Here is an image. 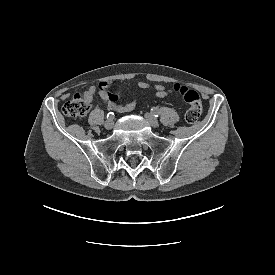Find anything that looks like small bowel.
I'll use <instances>...</instances> for the list:
<instances>
[{
  "instance_id": "1",
  "label": "small bowel",
  "mask_w": 275,
  "mask_h": 275,
  "mask_svg": "<svg viewBox=\"0 0 275 275\" xmlns=\"http://www.w3.org/2000/svg\"><path fill=\"white\" fill-rule=\"evenodd\" d=\"M112 84L113 82L111 81H102L98 85H92L84 92V96L92 101L94 95H99L109 108L118 113L134 110L137 105V100L134 99L125 105L118 104L119 96L109 91ZM137 86L142 90H153L157 98H168L171 93L170 89L162 84L152 85L146 81H139Z\"/></svg>"
}]
</instances>
